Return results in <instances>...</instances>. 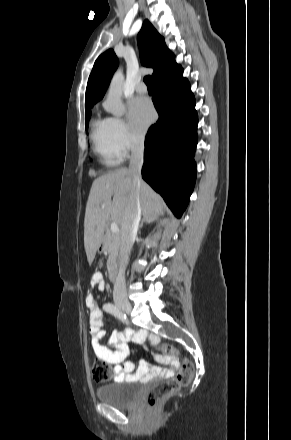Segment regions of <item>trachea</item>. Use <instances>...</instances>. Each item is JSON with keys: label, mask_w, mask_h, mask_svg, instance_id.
Returning a JSON list of instances; mask_svg holds the SVG:
<instances>
[{"label": "trachea", "mask_w": 291, "mask_h": 440, "mask_svg": "<svg viewBox=\"0 0 291 440\" xmlns=\"http://www.w3.org/2000/svg\"><path fill=\"white\" fill-rule=\"evenodd\" d=\"M144 82L146 83L148 88H152V79L151 76H145L144 77Z\"/></svg>", "instance_id": "trachea-1"}]
</instances>
